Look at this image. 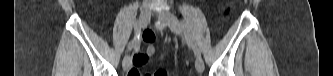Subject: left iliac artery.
I'll return each mask as SVG.
<instances>
[{"mask_svg":"<svg viewBox=\"0 0 333 76\" xmlns=\"http://www.w3.org/2000/svg\"><path fill=\"white\" fill-rule=\"evenodd\" d=\"M183 26L186 27V24L184 22H183ZM186 35H187L186 41H187L188 45L190 47H192V49H193L194 53L196 54V56L201 57V53H200V51H199V49H198V47L196 45V42H195L192 34L190 33V31L187 28H186Z\"/></svg>","mask_w":333,"mask_h":76,"instance_id":"1","label":"left iliac artery"}]
</instances>
